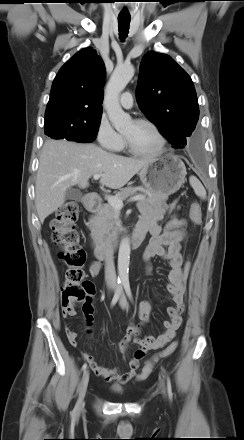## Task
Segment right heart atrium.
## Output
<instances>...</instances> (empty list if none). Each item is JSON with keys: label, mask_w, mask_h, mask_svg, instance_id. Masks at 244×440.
Returning <instances> with one entry per match:
<instances>
[{"label": "right heart atrium", "mask_w": 244, "mask_h": 440, "mask_svg": "<svg viewBox=\"0 0 244 440\" xmlns=\"http://www.w3.org/2000/svg\"><path fill=\"white\" fill-rule=\"evenodd\" d=\"M96 139L101 147L115 151L123 142L122 136L113 128L106 116H102L96 129Z\"/></svg>", "instance_id": "d8ad5b80"}]
</instances>
